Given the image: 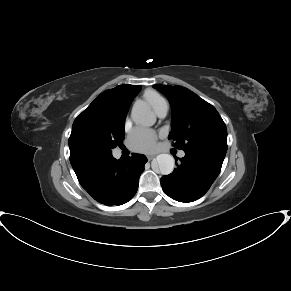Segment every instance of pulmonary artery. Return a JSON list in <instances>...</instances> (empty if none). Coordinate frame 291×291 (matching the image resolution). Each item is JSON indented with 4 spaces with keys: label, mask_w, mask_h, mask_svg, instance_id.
Masks as SVG:
<instances>
[{
    "label": "pulmonary artery",
    "mask_w": 291,
    "mask_h": 291,
    "mask_svg": "<svg viewBox=\"0 0 291 291\" xmlns=\"http://www.w3.org/2000/svg\"><path fill=\"white\" fill-rule=\"evenodd\" d=\"M168 113V105L166 102L162 103L161 106L157 109L156 114L160 118H164ZM180 156H184V152H180Z\"/></svg>",
    "instance_id": "e3ab8cb5"
}]
</instances>
